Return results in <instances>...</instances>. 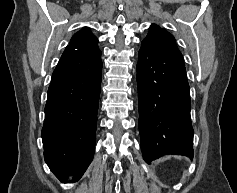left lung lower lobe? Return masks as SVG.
Segmentation results:
<instances>
[{
  "label": "left lung lower lobe",
  "instance_id": "left-lung-lower-lobe-1",
  "mask_svg": "<svg viewBox=\"0 0 237 193\" xmlns=\"http://www.w3.org/2000/svg\"><path fill=\"white\" fill-rule=\"evenodd\" d=\"M139 131L144 160L193 157L190 89L182 58L142 41L138 53Z\"/></svg>",
  "mask_w": 237,
  "mask_h": 193
}]
</instances>
